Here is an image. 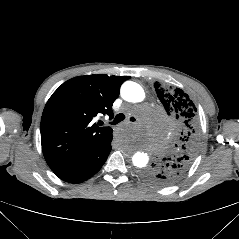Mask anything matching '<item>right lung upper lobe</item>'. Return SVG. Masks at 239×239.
Listing matches in <instances>:
<instances>
[{
  "mask_svg": "<svg viewBox=\"0 0 239 239\" xmlns=\"http://www.w3.org/2000/svg\"><path fill=\"white\" fill-rule=\"evenodd\" d=\"M129 76L89 75L63 83L45 105L41 119V144L51 170L78 159L92 149L111 127H99L98 114L113 116L112 104Z\"/></svg>",
  "mask_w": 239,
  "mask_h": 239,
  "instance_id": "1",
  "label": "right lung upper lobe"
}]
</instances>
